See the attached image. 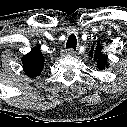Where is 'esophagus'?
Segmentation results:
<instances>
[{
	"label": "esophagus",
	"instance_id": "34e87169",
	"mask_svg": "<svg viewBox=\"0 0 127 127\" xmlns=\"http://www.w3.org/2000/svg\"><path fill=\"white\" fill-rule=\"evenodd\" d=\"M74 53L75 51L72 48L63 49L60 52L62 56H70V55H74Z\"/></svg>",
	"mask_w": 127,
	"mask_h": 127
}]
</instances>
